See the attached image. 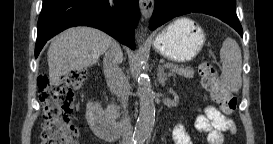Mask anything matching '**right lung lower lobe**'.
I'll return each mask as SVG.
<instances>
[{
	"instance_id": "1",
	"label": "right lung lower lobe",
	"mask_w": 273,
	"mask_h": 144,
	"mask_svg": "<svg viewBox=\"0 0 273 144\" xmlns=\"http://www.w3.org/2000/svg\"><path fill=\"white\" fill-rule=\"evenodd\" d=\"M138 19V0H43L35 57L50 38L73 26L98 28L135 49Z\"/></svg>"
}]
</instances>
